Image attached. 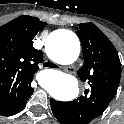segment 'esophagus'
Returning <instances> with one entry per match:
<instances>
[{
	"mask_svg": "<svg viewBox=\"0 0 124 124\" xmlns=\"http://www.w3.org/2000/svg\"><path fill=\"white\" fill-rule=\"evenodd\" d=\"M63 70H64L65 72H68V73H73V72H74L73 67H64Z\"/></svg>",
	"mask_w": 124,
	"mask_h": 124,
	"instance_id": "1",
	"label": "esophagus"
}]
</instances>
